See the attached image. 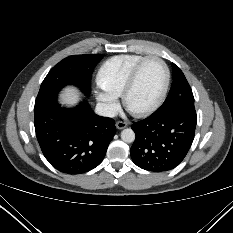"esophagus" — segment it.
Segmentation results:
<instances>
[{
    "instance_id": "1",
    "label": "esophagus",
    "mask_w": 233,
    "mask_h": 233,
    "mask_svg": "<svg viewBox=\"0 0 233 233\" xmlns=\"http://www.w3.org/2000/svg\"><path fill=\"white\" fill-rule=\"evenodd\" d=\"M126 126H127V123L124 122V121H118V122H116V128H117V129H123V128H125Z\"/></svg>"
}]
</instances>
